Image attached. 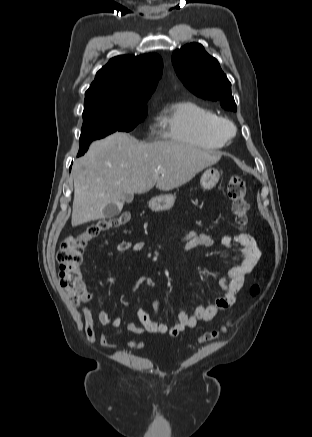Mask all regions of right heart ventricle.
<instances>
[{
	"instance_id": "e07e8e85",
	"label": "right heart ventricle",
	"mask_w": 312,
	"mask_h": 437,
	"mask_svg": "<svg viewBox=\"0 0 312 437\" xmlns=\"http://www.w3.org/2000/svg\"><path fill=\"white\" fill-rule=\"evenodd\" d=\"M217 117V113L194 101L175 103L159 118L161 136L176 144L220 149L225 146L227 138L214 130Z\"/></svg>"
}]
</instances>
